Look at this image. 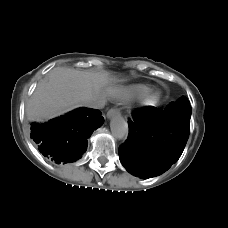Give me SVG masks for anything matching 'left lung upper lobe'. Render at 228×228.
I'll return each instance as SVG.
<instances>
[{
    "mask_svg": "<svg viewBox=\"0 0 228 228\" xmlns=\"http://www.w3.org/2000/svg\"><path fill=\"white\" fill-rule=\"evenodd\" d=\"M178 104L184 105V106H190V102L188 101V99L186 97H181L177 102Z\"/></svg>",
    "mask_w": 228,
    "mask_h": 228,
    "instance_id": "1",
    "label": "left lung upper lobe"
}]
</instances>
